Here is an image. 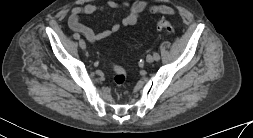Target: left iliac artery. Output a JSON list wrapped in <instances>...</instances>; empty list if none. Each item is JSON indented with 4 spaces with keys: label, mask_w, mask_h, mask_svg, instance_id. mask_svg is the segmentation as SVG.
I'll return each mask as SVG.
<instances>
[{
    "label": "left iliac artery",
    "mask_w": 253,
    "mask_h": 138,
    "mask_svg": "<svg viewBox=\"0 0 253 138\" xmlns=\"http://www.w3.org/2000/svg\"><path fill=\"white\" fill-rule=\"evenodd\" d=\"M153 55H154V58L156 61H158L160 59V56L157 52H154Z\"/></svg>",
    "instance_id": "left-iliac-artery-1"
}]
</instances>
